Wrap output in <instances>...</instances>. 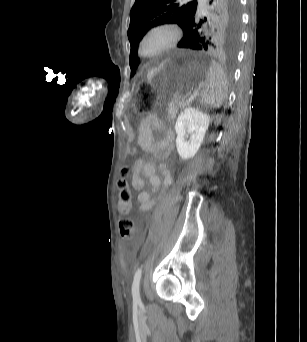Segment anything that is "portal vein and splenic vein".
Wrapping results in <instances>:
<instances>
[{
  "instance_id": "obj_1",
  "label": "portal vein and splenic vein",
  "mask_w": 307,
  "mask_h": 342,
  "mask_svg": "<svg viewBox=\"0 0 307 342\" xmlns=\"http://www.w3.org/2000/svg\"><path fill=\"white\" fill-rule=\"evenodd\" d=\"M200 90L197 88H193L192 89V91L191 92H188L185 96H184V98L182 99L183 100V102H181L180 104L181 105H183V106H188L190 103V101H194L195 99H194V97H195V95L197 96L199 93ZM186 100H188V101H186Z\"/></svg>"
}]
</instances>
